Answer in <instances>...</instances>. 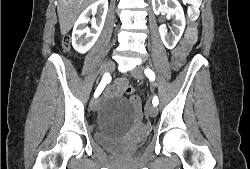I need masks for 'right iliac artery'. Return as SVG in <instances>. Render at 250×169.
<instances>
[{"label": "right iliac artery", "instance_id": "right-iliac-artery-1", "mask_svg": "<svg viewBox=\"0 0 250 169\" xmlns=\"http://www.w3.org/2000/svg\"><path fill=\"white\" fill-rule=\"evenodd\" d=\"M110 81H111L110 74L105 73L102 80H101V82H100V84L98 85V87H97V89H96V91L94 93V97H98L102 93V91L105 88L106 84L109 83Z\"/></svg>", "mask_w": 250, "mask_h": 169}]
</instances>
